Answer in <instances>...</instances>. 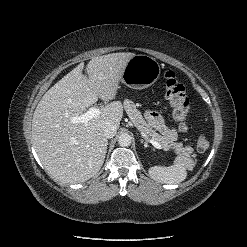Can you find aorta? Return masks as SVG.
<instances>
[{"label":"aorta","instance_id":"762f6f07","mask_svg":"<svg viewBox=\"0 0 247 247\" xmlns=\"http://www.w3.org/2000/svg\"><path fill=\"white\" fill-rule=\"evenodd\" d=\"M132 137L128 133H123L118 137V144L120 146H130Z\"/></svg>","mask_w":247,"mask_h":247}]
</instances>
